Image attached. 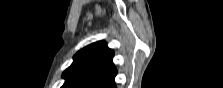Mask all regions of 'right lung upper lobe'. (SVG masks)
Instances as JSON below:
<instances>
[{
	"label": "right lung upper lobe",
	"mask_w": 223,
	"mask_h": 88,
	"mask_svg": "<svg viewBox=\"0 0 223 88\" xmlns=\"http://www.w3.org/2000/svg\"><path fill=\"white\" fill-rule=\"evenodd\" d=\"M113 55L103 41L83 48L63 73L65 83L62 88H116L117 70L112 62Z\"/></svg>",
	"instance_id": "obj_1"
}]
</instances>
